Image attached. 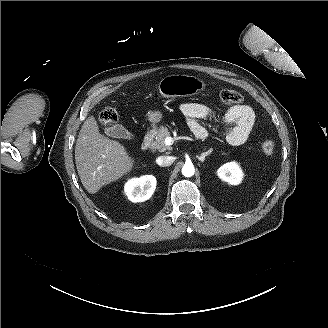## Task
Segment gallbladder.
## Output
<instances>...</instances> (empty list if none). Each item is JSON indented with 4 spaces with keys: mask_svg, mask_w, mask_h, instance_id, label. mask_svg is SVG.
I'll list each match as a JSON object with an SVG mask.
<instances>
[{
    "mask_svg": "<svg viewBox=\"0 0 328 328\" xmlns=\"http://www.w3.org/2000/svg\"><path fill=\"white\" fill-rule=\"evenodd\" d=\"M104 133L112 138L134 141L138 139V135L128 130L120 123H114L104 128Z\"/></svg>",
    "mask_w": 328,
    "mask_h": 328,
    "instance_id": "1",
    "label": "gallbladder"
}]
</instances>
